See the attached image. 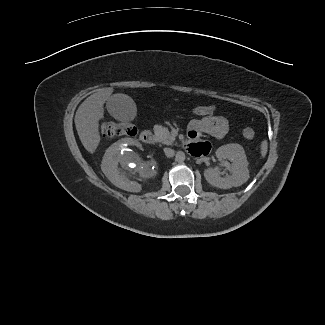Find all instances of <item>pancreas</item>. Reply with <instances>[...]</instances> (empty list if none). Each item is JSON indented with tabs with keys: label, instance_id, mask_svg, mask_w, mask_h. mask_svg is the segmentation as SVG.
Here are the masks:
<instances>
[{
	"label": "pancreas",
	"instance_id": "1",
	"mask_svg": "<svg viewBox=\"0 0 325 325\" xmlns=\"http://www.w3.org/2000/svg\"><path fill=\"white\" fill-rule=\"evenodd\" d=\"M153 130L158 142H161L166 145H170L174 142L175 137L171 135V133L166 127H162L161 125H155Z\"/></svg>",
	"mask_w": 325,
	"mask_h": 325
}]
</instances>
